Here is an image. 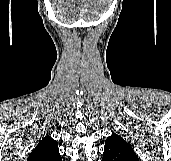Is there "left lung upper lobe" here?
<instances>
[{"instance_id": "5c2ea615", "label": "left lung upper lobe", "mask_w": 171, "mask_h": 161, "mask_svg": "<svg viewBox=\"0 0 171 161\" xmlns=\"http://www.w3.org/2000/svg\"><path fill=\"white\" fill-rule=\"evenodd\" d=\"M102 161H139V158L129 143L112 134L105 140Z\"/></svg>"}]
</instances>
